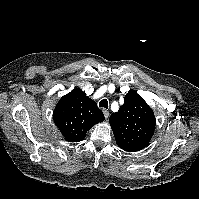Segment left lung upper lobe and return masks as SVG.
Wrapping results in <instances>:
<instances>
[{
  "label": "left lung upper lobe",
  "instance_id": "obj_1",
  "mask_svg": "<svg viewBox=\"0 0 199 199\" xmlns=\"http://www.w3.org/2000/svg\"><path fill=\"white\" fill-rule=\"evenodd\" d=\"M124 104L110 116L117 145L128 152L145 148L150 142L156 119L152 109L135 91L126 94Z\"/></svg>",
  "mask_w": 199,
  "mask_h": 199
}]
</instances>
